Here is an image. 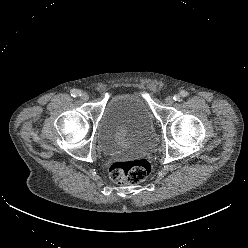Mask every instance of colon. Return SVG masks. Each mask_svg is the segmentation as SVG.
Masks as SVG:
<instances>
[{
  "mask_svg": "<svg viewBox=\"0 0 248 248\" xmlns=\"http://www.w3.org/2000/svg\"><path fill=\"white\" fill-rule=\"evenodd\" d=\"M151 165L146 159L114 162L109 168L113 182L119 185L137 184L150 174Z\"/></svg>",
  "mask_w": 248,
  "mask_h": 248,
  "instance_id": "obj_1",
  "label": "colon"
}]
</instances>
